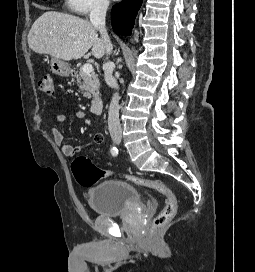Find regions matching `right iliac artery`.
<instances>
[{"instance_id":"1","label":"right iliac artery","mask_w":255,"mask_h":272,"mask_svg":"<svg viewBox=\"0 0 255 272\" xmlns=\"http://www.w3.org/2000/svg\"><path fill=\"white\" fill-rule=\"evenodd\" d=\"M110 152L112 156H117L118 155V149L116 147H111Z\"/></svg>"}]
</instances>
